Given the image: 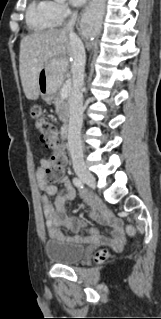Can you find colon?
Wrapping results in <instances>:
<instances>
[{
    "instance_id": "colon-1",
    "label": "colon",
    "mask_w": 161,
    "mask_h": 319,
    "mask_svg": "<svg viewBox=\"0 0 161 319\" xmlns=\"http://www.w3.org/2000/svg\"><path fill=\"white\" fill-rule=\"evenodd\" d=\"M31 116L46 144L55 149V152L50 155L45 169L47 177L49 179L63 178L67 166V157L62 152V141L58 136L57 128L54 124L41 117V109L39 107H33L31 109ZM108 255L107 250H100L96 254V261L103 262L107 259Z\"/></svg>"
}]
</instances>
